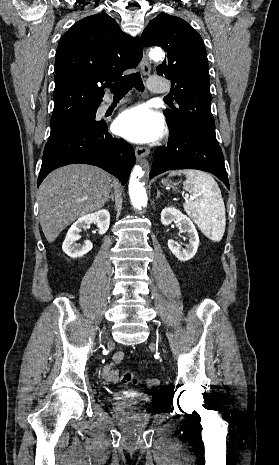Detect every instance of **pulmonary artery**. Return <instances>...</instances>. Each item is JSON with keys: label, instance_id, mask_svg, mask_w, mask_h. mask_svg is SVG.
I'll list each match as a JSON object with an SVG mask.
<instances>
[{"label": "pulmonary artery", "instance_id": "e3ab8cb5", "mask_svg": "<svg viewBox=\"0 0 279 465\" xmlns=\"http://www.w3.org/2000/svg\"><path fill=\"white\" fill-rule=\"evenodd\" d=\"M149 89L150 91L154 92V93H164L166 92V86L164 85L163 81L158 78V77H151L149 79ZM125 100H122V102H124ZM112 105V102L109 101L107 103H105L102 107V110H107L110 106Z\"/></svg>", "mask_w": 279, "mask_h": 465}]
</instances>
